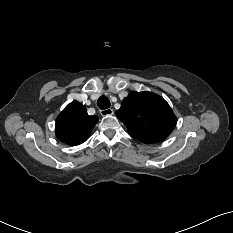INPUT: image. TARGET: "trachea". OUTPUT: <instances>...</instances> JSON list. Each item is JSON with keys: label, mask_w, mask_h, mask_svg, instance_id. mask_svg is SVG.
Listing matches in <instances>:
<instances>
[{"label": "trachea", "mask_w": 233, "mask_h": 233, "mask_svg": "<svg viewBox=\"0 0 233 233\" xmlns=\"http://www.w3.org/2000/svg\"><path fill=\"white\" fill-rule=\"evenodd\" d=\"M97 105L100 109H108L110 107V101L107 97L101 96L97 101Z\"/></svg>", "instance_id": "3493384b"}]
</instances>
